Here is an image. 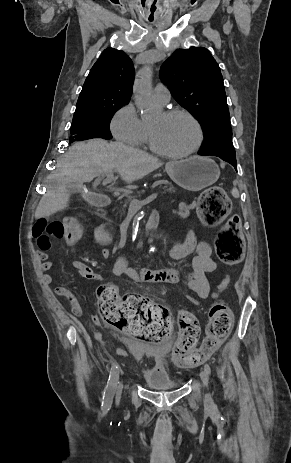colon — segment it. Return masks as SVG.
Here are the masks:
<instances>
[{
	"label": "colon",
	"instance_id": "1",
	"mask_svg": "<svg viewBox=\"0 0 291 463\" xmlns=\"http://www.w3.org/2000/svg\"><path fill=\"white\" fill-rule=\"evenodd\" d=\"M231 201L219 186L207 188L198 200V214L207 226L220 223L229 213ZM84 232L82 222L76 217L48 222L39 219L33 235L53 236L65 240L79 239ZM244 241L241 220L231 217L218 232L215 249L220 261L228 265L241 262ZM100 318L118 330L149 341L160 342L169 336L172 319L168 310L141 296L121 297L113 284L97 289ZM234 316L224 302H216L209 311L206 338L201 349H195L200 335L196 318L188 312L178 314L179 336L172 351V361L179 368H192L207 359L227 337L232 329Z\"/></svg>",
	"mask_w": 291,
	"mask_h": 463
}]
</instances>
